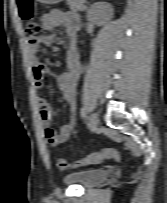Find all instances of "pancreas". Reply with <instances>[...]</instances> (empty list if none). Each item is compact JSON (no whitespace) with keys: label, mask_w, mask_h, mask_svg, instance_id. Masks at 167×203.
Wrapping results in <instances>:
<instances>
[{"label":"pancreas","mask_w":167,"mask_h":203,"mask_svg":"<svg viewBox=\"0 0 167 203\" xmlns=\"http://www.w3.org/2000/svg\"><path fill=\"white\" fill-rule=\"evenodd\" d=\"M85 0H67V5L73 12L85 10L84 6Z\"/></svg>","instance_id":"cf45deb5"}]
</instances>
